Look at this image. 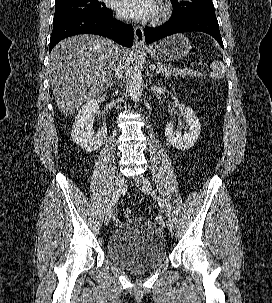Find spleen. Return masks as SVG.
Instances as JSON below:
<instances>
[{"label":"spleen","mask_w":272,"mask_h":303,"mask_svg":"<svg viewBox=\"0 0 272 303\" xmlns=\"http://www.w3.org/2000/svg\"><path fill=\"white\" fill-rule=\"evenodd\" d=\"M210 68L212 70L210 73V77L212 79H221L224 77L225 66L222 61H220V60L213 61L210 65Z\"/></svg>","instance_id":"1"}]
</instances>
